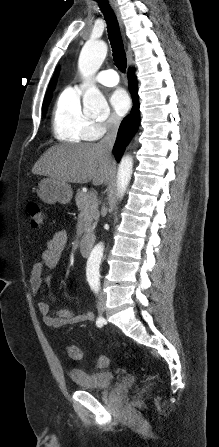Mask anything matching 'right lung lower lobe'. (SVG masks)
<instances>
[{"instance_id": "right-lung-lower-lobe-1", "label": "right lung lower lobe", "mask_w": 219, "mask_h": 447, "mask_svg": "<svg viewBox=\"0 0 219 447\" xmlns=\"http://www.w3.org/2000/svg\"><path fill=\"white\" fill-rule=\"evenodd\" d=\"M128 83L129 89L132 94L133 99V107L129 115H127L120 124L117 140L115 142L113 153L116 157V160L119 161L122 152L125 147L128 145L129 141L136 133L139 127L140 122V111H139V100L137 94V81L136 77L133 74L132 70L128 72Z\"/></svg>"}]
</instances>
